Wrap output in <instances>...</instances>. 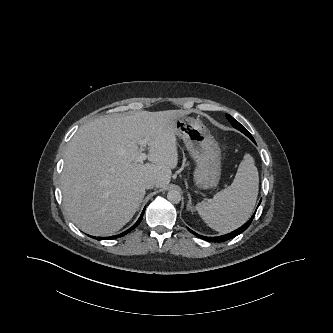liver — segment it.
<instances>
[{"label":"liver","mask_w":333,"mask_h":333,"mask_svg":"<svg viewBox=\"0 0 333 333\" xmlns=\"http://www.w3.org/2000/svg\"><path fill=\"white\" fill-rule=\"evenodd\" d=\"M183 110L111 114L81 126L69 142L61 177L63 204L85 233L111 235L128 223L145 195V182L162 188L178 164L176 119ZM148 160L136 162L140 141Z\"/></svg>","instance_id":"1"}]
</instances>
